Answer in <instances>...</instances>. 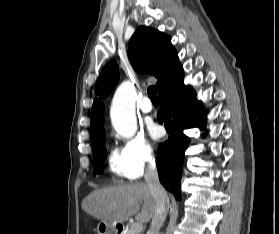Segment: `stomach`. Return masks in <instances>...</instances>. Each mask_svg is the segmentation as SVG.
Listing matches in <instances>:
<instances>
[{
	"instance_id": "obj_1",
	"label": "stomach",
	"mask_w": 279,
	"mask_h": 234,
	"mask_svg": "<svg viewBox=\"0 0 279 234\" xmlns=\"http://www.w3.org/2000/svg\"><path fill=\"white\" fill-rule=\"evenodd\" d=\"M120 223H109L106 221H100L97 225V232L98 234H119Z\"/></svg>"
}]
</instances>
